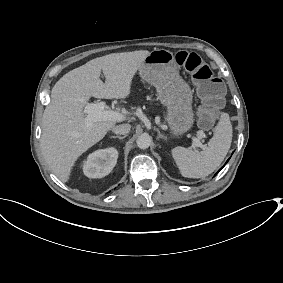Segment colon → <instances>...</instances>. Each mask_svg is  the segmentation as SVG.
<instances>
[{"label": "colon", "mask_w": 283, "mask_h": 283, "mask_svg": "<svg viewBox=\"0 0 283 283\" xmlns=\"http://www.w3.org/2000/svg\"><path fill=\"white\" fill-rule=\"evenodd\" d=\"M177 63L189 74L197 86L201 98L198 111L199 123L209 127L215 121L223 103L224 86L210 66L196 53L181 51L176 54Z\"/></svg>", "instance_id": "obj_1"}]
</instances>
